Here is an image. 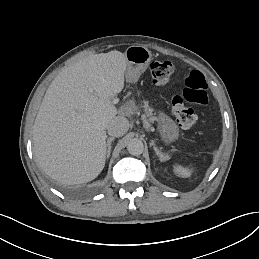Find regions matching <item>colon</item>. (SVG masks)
Masks as SVG:
<instances>
[{
	"mask_svg": "<svg viewBox=\"0 0 259 259\" xmlns=\"http://www.w3.org/2000/svg\"><path fill=\"white\" fill-rule=\"evenodd\" d=\"M155 85H166L173 73V65L169 61L152 62L149 68ZM207 82L204 75L197 70L190 72L184 82L182 95L174 96L171 102L172 113L183 129L192 128L198 121V115L190 104H208Z\"/></svg>",
	"mask_w": 259,
	"mask_h": 259,
	"instance_id": "obj_1",
	"label": "colon"
}]
</instances>
